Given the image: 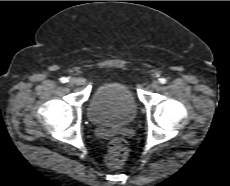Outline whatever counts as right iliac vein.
Returning <instances> with one entry per match:
<instances>
[{
    "label": "right iliac vein",
    "instance_id": "63e3f726",
    "mask_svg": "<svg viewBox=\"0 0 230 186\" xmlns=\"http://www.w3.org/2000/svg\"><path fill=\"white\" fill-rule=\"evenodd\" d=\"M68 84H69V86H75V85L78 84V80H76V79H70L68 81Z\"/></svg>",
    "mask_w": 230,
    "mask_h": 186
}]
</instances>
